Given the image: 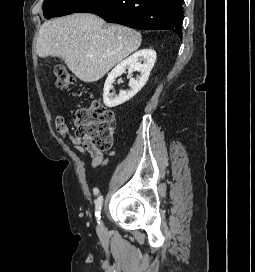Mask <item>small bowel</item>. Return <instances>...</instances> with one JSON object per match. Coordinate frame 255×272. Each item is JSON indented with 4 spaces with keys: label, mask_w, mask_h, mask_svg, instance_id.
<instances>
[{
    "label": "small bowel",
    "mask_w": 255,
    "mask_h": 272,
    "mask_svg": "<svg viewBox=\"0 0 255 272\" xmlns=\"http://www.w3.org/2000/svg\"><path fill=\"white\" fill-rule=\"evenodd\" d=\"M55 126L58 134L65 140L71 142L75 149L83 156H86L87 153L91 156V166L93 168L99 167L105 162H107L108 157H105V155L98 151L88 144L82 143L79 140H77L72 133L69 130V127L65 121V118L62 115H58L55 118Z\"/></svg>",
    "instance_id": "1"
}]
</instances>
